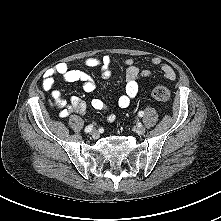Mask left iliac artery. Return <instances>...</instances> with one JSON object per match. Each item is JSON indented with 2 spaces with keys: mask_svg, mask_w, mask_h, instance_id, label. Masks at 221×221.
I'll list each match as a JSON object with an SVG mask.
<instances>
[{
  "mask_svg": "<svg viewBox=\"0 0 221 221\" xmlns=\"http://www.w3.org/2000/svg\"><path fill=\"white\" fill-rule=\"evenodd\" d=\"M143 115H144V112L143 111H139L138 116L142 117Z\"/></svg>",
  "mask_w": 221,
  "mask_h": 221,
  "instance_id": "44dca946",
  "label": "left iliac artery"
}]
</instances>
